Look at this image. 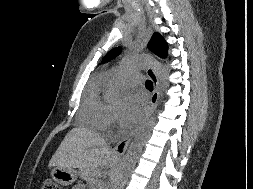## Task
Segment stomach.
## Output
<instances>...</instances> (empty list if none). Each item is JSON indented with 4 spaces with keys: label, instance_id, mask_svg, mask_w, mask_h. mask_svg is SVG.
<instances>
[{
    "label": "stomach",
    "instance_id": "0dacf381",
    "mask_svg": "<svg viewBox=\"0 0 253 189\" xmlns=\"http://www.w3.org/2000/svg\"><path fill=\"white\" fill-rule=\"evenodd\" d=\"M51 176L56 183L69 186L77 180L78 173L73 168L55 167Z\"/></svg>",
    "mask_w": 253,
    "mask_h": 189
}]
</instances>
